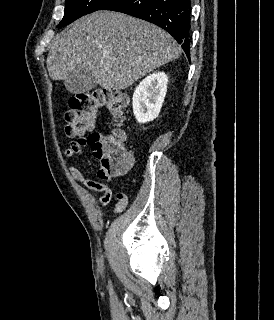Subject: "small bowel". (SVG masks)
I'll return each instance as SVG.
<instances>
[{"instance_id": "c3829d8e", "label": "small bowel", "mask_w": 274, "mask_h": 320, "mask_svg": "<svg viewBox=\"0 0 274 320\" xmlns=\"http://www.w3.org/2000/svg\"><path fill=\"white\" fill-rule=\"evenodd\" d=\"M87 129L88 131H95L96 129V120L88 119L87 120ZM90 144L88 138L79 137L71 141L68 147L64 150V158L68 162V170L71 176L86 190H88L94 196H97L98 193H101V196L98 198V203L101 206H105L110 203L113 198V192L108 185L103 182H99L93 179L85 177L82 172L74 165L70 163L76 157L83 155V147ZM95 155L98 158H102V152L94 150ZM128 161H134V158L131 154L128 155ZM131 168H123L121 174H125ZM98 177L100 179L106 180V173L104 170L98 172ZM117 202L112 210L113 213L117 214L122 212L128 205V197H117ZM109 213V212H108Z\"/></svg>"}]
</instances>
